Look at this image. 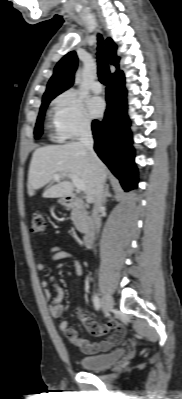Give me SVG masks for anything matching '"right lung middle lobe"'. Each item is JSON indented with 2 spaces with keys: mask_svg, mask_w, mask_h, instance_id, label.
<instances>
[{
  "mask_svg": "<svg viewBox=\"0 0 182 399\" xmlns=\"http://www.w3.org/2000/svg\"><path fill=\"white\" fill-rule=\"evenodd\" d=\"M52 99H53V98H48V99H44V100L42 101V105H41V107H40V112H39V116H38V119H37L36 127H35V130H34L35 138H39V137L41 136L42 132H43L42 123H43V118H44L45 110H46V108H47L49 102H50Z\"/></svg>",
  "mask_w": 182,
  "mask_h": 399,
  "instance_id": "1",
  "label": "right lung middle lobe"
}]
</instances>
